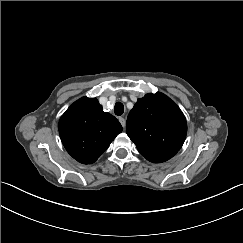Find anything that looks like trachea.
<instances>
[{"mask_svg": "<svg viewBox=\"0 0 243 243\" xmlns=\"http://www.w3.org/2000/svg\"><path fill=\"white\" fill-rule=\"evenodd\" d=\"M123 112H124V105L121 102H117L114 106V113L117 116H120L123 114Z\"/></svg>", "mask_w": 243, "mask_h": 243, "instance_id": "3493384b", "label": "trachea"}]
</instances>
